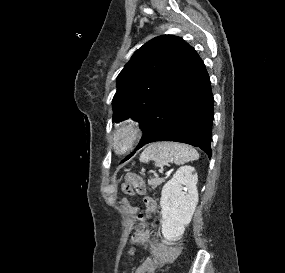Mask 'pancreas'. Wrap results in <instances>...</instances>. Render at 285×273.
<instances>
[{
	"label": "pancreas",
	"mask_w": 285,
	"mask_h": 273,
	"mask_svg": "<svg viewBox=\"0 0 285 273\" xmlns=\"http://www.w3.org/2000/svg\"><path fill=\"white\" fill-rule=\"evenodd\" d=\"M163 182H164V179L154 178V179H150L148 181V184L151 186L152 189H154L155 187L159 186Z\"/></svg>",
	"instance_id": "pancreas-1"
}]
</instances>
